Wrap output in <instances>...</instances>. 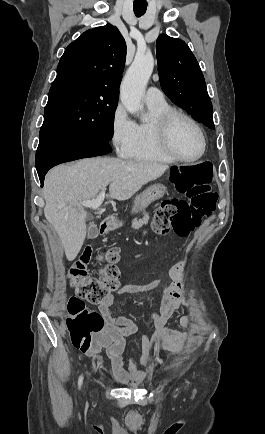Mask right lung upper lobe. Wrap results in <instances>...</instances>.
I'll use <instances>...</instances> for the list:
<instances>
[{
  "instance_id": "cb5924a9",
  "label": "right lung upper lobe",
  "mask_w": 265,
  "mask_h": 434,
  "mask_svg": "<svg viewBox=\"0 0 265 434\" xmlns=\"http://www.w3.org/2000/svg\"><path fill=\"white\" fill-rule=\"evenodd\" d=\"M126 60V43L113 25L90 29L69 44L54 81L87 79L119 91Z\"/></svg>"
}]
</instances>
